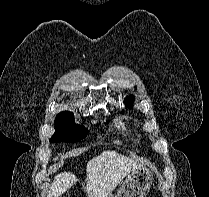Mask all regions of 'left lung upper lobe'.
Wrapping results in <instances>:
<instances>
[{
    "label": "left lung upper lobe",
    "mask_w": 209,
    "mask_h": 197,
    "mask_svg": "<svg viewBox=\"0 0 209 197\" xmlns=\"http://www.w3.org/2000/svg\"><path fill=\"white\" fill-rule=\"evenodd\" d=\"M133 99H134L133 95H130L129 97H127L126 98V106H132Z\"/></svg>",
    "instance_id": "left-lung-upper-lobe-1"
}]
</instances>
